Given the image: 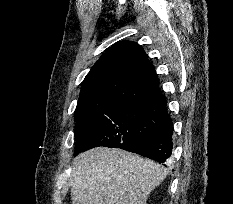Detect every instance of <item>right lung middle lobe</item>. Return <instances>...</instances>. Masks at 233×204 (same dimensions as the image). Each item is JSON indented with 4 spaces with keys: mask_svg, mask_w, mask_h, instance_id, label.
<instances>
[{
    "mask_svg": "<svg viewBox=\"0 0 233 204\" xmlns=\"http://www.w3.org/2000/svg\"><path fill=\"white\" fill-rule=\"evenodd\" d=\"M75 121L76 148L81 145L117 147L155 133L167 124L148 99L114 103Z\"/></svg>",
    "mask_w": 233,
    "mask_h": 204,
    "instance_id": "1",
    "label": "right lung middle lobe"
}]
</instances>
